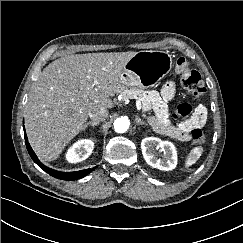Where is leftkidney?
Here are the masks:
<instances>
[{
  "mask_svg": "<svg viewBox=\"0 0 243 243\" xmlns=\"http://www.w3.org/2000/svg\"><path fill=\"white\" fill-rule=\"evenodd\" d=\"M142 154L148 165L163 171L173 170L177 165V153L173 143L156 137H146L141 142ZM164 153L158 158L156 150Z\"/></svg>",
  "mask_w": 243,
  "mask_h": 243,
  "instance_id": "1",
  "label": "left kidney"
}]
</instances>
